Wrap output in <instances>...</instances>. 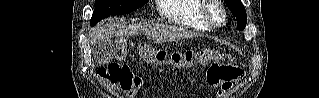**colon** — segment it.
I'll return each mask as SVG.
<instances>
[{
  "label": "colon",
  "mask_w": 319,
  "mask_h": 98,
  "mask_svg": "<svg viewBox=\"0 0 319 98\" xmlns=\"http://www.w3.org/2000/svg\"><path fill=\"white\" fill-rule=\"evenodd\" d=\"M127 51V42L120 40L116 49L117 58L119 60L125 59ZM139 55L144 61L154 66L184 67L195 63L210 62L206 73V82L210 86L221 85L223 91L231 89L243 74L239 66L224 62L220 53L209 48L189 49L169 55L163 49H155L145 45L139 48ZM99 76L111 85L127 92L133 91L142 83L141 79L134 76L128 67L117 63L109 64L101 69Z\"/></svg>",
  "instance_id": "5ec220e1"
}]
</instances>
